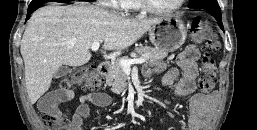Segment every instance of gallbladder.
Instances as JSON below:
<instances>
[{
	"label": "gallbladder",
	"instance_id": "obj_1",
	"mask_svg": "<svg viewBox=\"0 0 257 130\" xmlns=\"http://www.w3.org/2000/svg\"><path fill=\"white\" fill-rule=\"evenodd\" d=\"M71 73V69L67 66H61L55 73V78H61Z\"/></svg>",
	"mask_w": 257,
	"mask_h": 130
}]
</instances>
